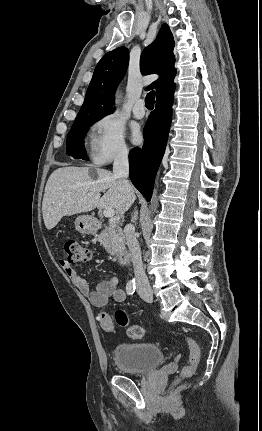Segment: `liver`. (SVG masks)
I'll use <instances>...</instances> for the list:
<instances>
[{"label":"liver","mask_w":262,"mask_h":431,"mask_svg":"<svg viewBox=\"0 0 262 431\" xmlns=\"http://www.w3.org/2000/svg\"><path fill=\"white\" fill-rule=\"evenodd\" d=\"M101 192H105L101 197ZM136 199L122 179L110 171L96 169L93 178L86 167H62L49 177L42 203V213L48 230L65 215L90 212L95 208H113L123 215Z\"/></svg>","instance_id":"6515ba94"}]
</instances>
